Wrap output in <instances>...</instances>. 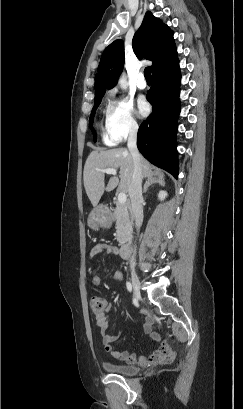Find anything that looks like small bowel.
I'll use <instances>...</instances> for the list:
<instances>
[{
  "label": "small bowel",
  "mask_w": 243,
  "mask_h": 409,
  "mask_svg": "<svg viewBox=\"0 0 243 409\" xmlns=\"http://www.w3.org/2000/svg\"><path fill=\"white\" fill-rule=\"evenodd\" d=\"M118 254V248L114 245L110 244H103L99 243L96 244L90 254L89 260L93 261L97 255L100 254ZM114 278L118 281L122 280V274L120 272H116ZM102 282V276L99 274H95L92 276V283L95 285H99ZM104 308L94 313V319L96 325L101 331L102 334V342L104 345L105 350L111 354L112 357L122 360L125 363H158V364H169L171 363L175 356L176 350L173 348L171 343L168 340H160L158 334H156L153 330L154 327V319L151 313L148 310H145L146 318L143 325V330L145 333H148L152 336L155 342L159 344L158 348L149 352L145 356L137 357L135 354L129 353L128 351L116 350L114 348L113 343L119 338L120 335H111L107 333L108 329V317L106 314L107 307L109 303L106 299H103Z\"/></svg>",
  "instance_id": "c3829d8e"
}]
</instances>
